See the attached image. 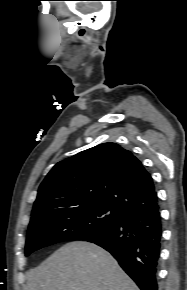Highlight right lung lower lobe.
I'll return each instance as SVG.
<instances>
[{
    "instance_id": "98d812e1",
    "label": "right lung lower lobe",
    "mask_w": 187,
    "mask_h": 290,
    "mask_svg": "<svg viewBox=\"0 0 187 290\" xmlns=\"http://www.w3.org/2000/svg\"><path fill=\"white\" fill-rule=\"evenodd\" d=\"M83 240L109 251L141 290H158L162 242L160 207L125 214L116 225Z\"/></svg>"
}]
</instances>
